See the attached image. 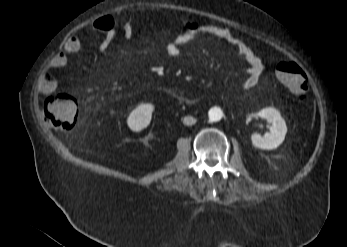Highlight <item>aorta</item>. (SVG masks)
I'll use <instances>...</instances> for the list:
<instances>
[{"label": "aorta", "instance_id": "obj_1", "mask_svg": "<svg viewBox=\"0 0 347 247\" xmlns=\"http://www.w3.org/2000/svg\"><path fill=\"white\" fill-rule=\"evenodd\" d=\"M208 116L211 122L220 121L223 117V112L220 108L214 107L209 110Z\"/></svg>", "mask_w": 347, "mask_h": 247}]
</instances>
